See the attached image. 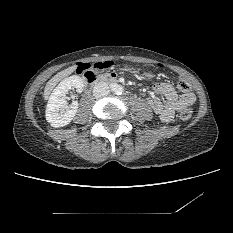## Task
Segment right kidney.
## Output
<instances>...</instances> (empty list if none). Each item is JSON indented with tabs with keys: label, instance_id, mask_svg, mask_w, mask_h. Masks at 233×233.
Wrapping results in <instances>:
<instances>
[{
	"label": "right kidney",
	"instance_id": "obj_1",
	"mask_svg": "<svg viewBox=\"0 0 233 233\" xmlns=\"http://www.w3.org/2000/svg\"><path fill=\"white\" fill-rule=\"evenodd\" d=\"M72 88L81 93L84 83L81 77L72 75L62 80L50 95L46 107V120L52 127L58 128L68 125L74 118L78 109V102L73 101L69 106L66 101V94Z\"/></svg>",
	"mask_w": 233,
	"mask_h": 233
}]
</instances>
